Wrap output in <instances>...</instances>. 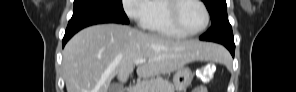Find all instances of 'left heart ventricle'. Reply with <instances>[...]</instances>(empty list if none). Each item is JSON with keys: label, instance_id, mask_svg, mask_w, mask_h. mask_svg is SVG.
I'll use <instances>...</instances> for the list:
<instances>
[{"label": "left heart ventricle", "instance_id": "obj_1", "mask_svg": "<svg viewBox=\"0 0 296 92\" xmlns=\"http://www.w3.org/2000/svg\"><path fill=\"white\" fill-rule=\"evenodd\" d=\"M178 18L186 31L194 32L204 25L205 13L198 3L186 1L179 8Z\"/></svg>", "mask_w": 296, "mask_h": 92}]
</instances>
